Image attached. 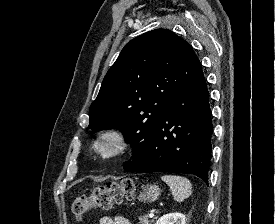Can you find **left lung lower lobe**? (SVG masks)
<instances>
[{
    "instance_id": "left-lung-lower-lobe-1",
    "label": "left lung lower lobe",
    "mask_w": 275,
    "mask_h": 224,
    "mask_svg": "<svg viewBox=\"0 0 275 224\" xmlns=\"http://www.w3.org/2000/svg\"><path fill=\"white\" fill-rule=\"evenodd\" d=\"M213 127L209 93L201 67L170 103L125 171L190 173L208 184Z\"/></svg>"
}]
</instances>
